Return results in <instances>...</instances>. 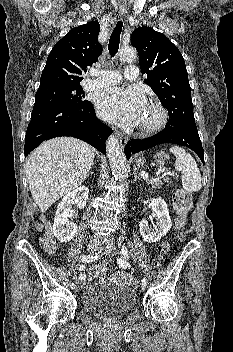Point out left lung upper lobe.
Segmentation results:
<instances>
[{"label":"left lung upper lobe","mask_w":233,"mask_h":352,"mask_svg":"<svg viewBox=\"0 0 233 352\" xmlns=\"http://www.w3.org/2000/svg\"><path fill=\"white\" fill-rule=\"evenodd\" d=\"M131 44L139 53L144 80L167 108L169 126H194L191 88L185 61L178 48L162 33L150 27L135 29Z\"/></svg>","instance_id":"obj_1"}]
</instances>
